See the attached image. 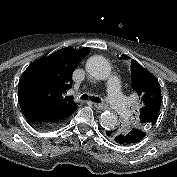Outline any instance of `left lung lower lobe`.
I'll use <instances>...</instances> for the list:
<instances>
[{
	"label": "left lung lower lobe",
	"mask_w": 177,
	"mask_h": 177,
	"mask_svg": "<svg viewBox=\"0 0 177 177\" xmlns=\"http://www.w3.org/2000/svg\"><path fill=\"white\" fill-rule=\"evenodd\" d=\"M117 130L118 128L111 129L107 131L106 134L115 143L123 146L135 145L146 136V132L139 128H128L124 132L120 133H118Z\"/></svg>",
	"instance_id": "left-lung-lower-lobe-1"
}]
</instances>
